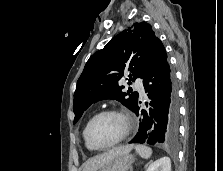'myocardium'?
Wrapping results in <instances>:
<instances>
[{
  "instance_id": "myocardium-1",
  "label": "myocardium",
  "mask_w": 223,
  "mask_h": 171,
  "mask_svg": "<svg viewBox=\"0 0 223 171\" xmlns=\"http://www.w3.org/2000/svg\"><path fill=\"white\" fill-rule=\"evenodd\" d=\"M104 115H116L119 116L123 122H124V132L123 134L113 143L106 145V146H98L96 144L93 143V141L90 138V129L92 124L101 116ZM132 129V121L131 118L129 117V115L119 109H105L102 110L100 112H98L97 114H95L92 118H90V120L87 122L86 127H85V139L88 143V145L93 149V150H106L109 148H112L116 145H118L119 143H121L123 140H125L128 135L130 134Z\"/></svg>"
}]
</instances>
